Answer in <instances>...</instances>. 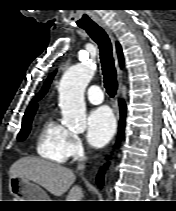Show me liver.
Returning <instances> with one entry per match:
<instances>
[{
  "instance_id": "liver-1",
  "label": "liver",
  "mask_w": 176,
  "mask_h": 211,
  "mask_svg": "<svg viewBox=\"0 0 176 211\" xmlns=\"http://www.w3.org/2000/svg\"><path fill=\"white\" fill-rule=\"evenodd\" d=\"M9 177L32 181L55 196L63 195L76 179L74 172L69 168L35 157L17 160L9 169ZM83 197L82 188L75 185L69 190L66 201H81Z\"/></svg>"
}]
</instances>
